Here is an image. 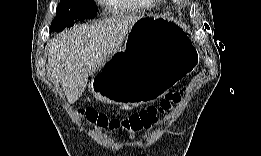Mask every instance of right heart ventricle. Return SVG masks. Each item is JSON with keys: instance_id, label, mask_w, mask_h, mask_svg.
Returning <instances> with one entry per match:
<instances>
[{"instance_id": "right-heart-ventricle-1", "label": "right heart ventricle", "mask_w": 261, "mask_h": 156, "mask_svg": "<svg viewBox=\"0 0 261 156\" xmlns=\"http://www.w3.org/2000/svg\"><path fill=\"white\" fill-rule=\"evenodd\" d=\"M136 0H109L105 1V4L115 9L124 10L127 5L131 4Z\"/></svg>"}]
</instances>
